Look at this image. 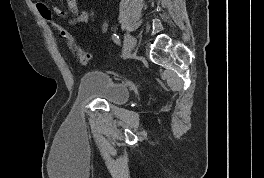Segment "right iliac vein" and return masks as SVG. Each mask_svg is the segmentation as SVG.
<instances>
[{"instance_id":"63e3f726","label":"right iliac vein","mask_w":264,"mask_h":178,"mask_svg":"<svg viewBox=\"0 0 264 178\" xmlns=\"http://www.w3.org/2000/svg\"><path fill=\"white\" fill-rule=\"evenodd\" d=\"M124 41L126 54H129L135 46V39L131 34L126 33L124 36Z\"/></svg>"}]
</instances>
